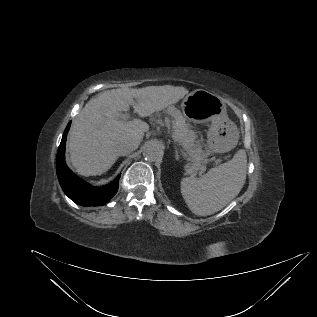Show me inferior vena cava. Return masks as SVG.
<instances>
[{"mask_svg": "<svg viewBox=\"0 0 317 317\" xmlns=\"http://www.w3.org/2000/svg\"><path fill=\"white\" fill-rule=\"evenodd\" d=\"M138 142H122L116 147L118 156H125L138 148Z\"/></svg>", "mask_w": 317, "mask_h": 317, "instance_id": "inferior-vena-cava-1", "label": "inferior vena cava"}]
</instances>
